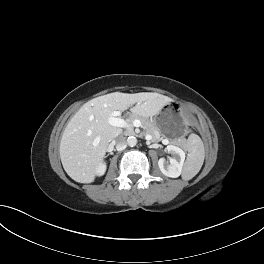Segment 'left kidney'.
Here are the masks:
<instances>
[{"label":"left kidney","instance_id":"obj_1","mask_svg":"<svg viewBox=\"0 0 264 264\" xmlns=\"http://www.w3.org/2000/svg\"><path fill=\"white\" fill-rule=\"evenodd\" d=\"M166 149L169 153H171L172 157L169 159V162H166L164 158H160L158 166L165 176L177 178L182 173L185 161V152L181 148L174 145H168Z\"/></svg>","mask_w":264,"mask_h":264}]
</instances>
